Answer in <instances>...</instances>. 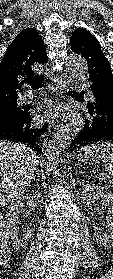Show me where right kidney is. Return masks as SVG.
<instances>
[{
    "label": "right kidney",
    "mask_w": 113,
    "mask_h": 279,
    "mask_svg": "<svg viewBox=\"0 0 113 279\" xmlns=\"http://www.w3.org/2000/svg\"><path fill=\"white\" fill-rule=\"evenodd\" d=\"M23 200H26L29 206L35 208L38 206V203L40 202V195L37 191H33L30 195H27L25 197L23 196V198H20L16 202L12 203L8 208V212L6 215V228L9 232V235L11 236V242L13 243V246L16 249L26 248V246L28 245V241L31 238L30 228H24L22 233H20L19 228L17 226L19 219L18 214L22 212L24 207Z\"/></svg>",
    "instance_id": "1"
}]
</instances>
